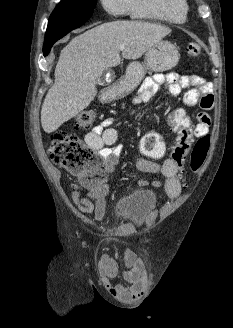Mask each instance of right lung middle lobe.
I'll return each mask as SVG.
<instances>
[{
    "label": "right lung middle lobe",
    "instance_id": "right-lung-middle-lobe-1",
    "mask_svg": "<svg viewBox=\"0 0 233 328\" xmlns=\"http://www.w3.org/2000/svg\"><path fill=\"white\" fill-rule=\"evenodd\" d=\"M97 0H61L50 18L90 17Z\"/></svg>",
    "mask_w": 233,
    "mask_h": 328
}]
</instances>
